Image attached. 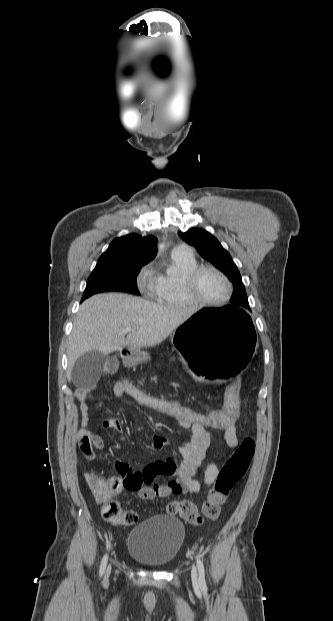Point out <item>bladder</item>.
Instances as JSON below:
<instances>
[{
	"label": "bladder",
	"instance_id": "bladder-1",
	"mask_svg": "<svg viewBox=\"0 0 333 621\" xmlns=\"http://www.w3.org/2000/svg\"><path fill=\"white\" fill-rule=\"evenodd\" d=\"M185 540L183 522L172 515H156L134 527L127 539L130 557L145 566L163 568L172 563Z\"/></svg>",
	"mask_w": 333,
	"mask_h": 621
}]
</instances>
